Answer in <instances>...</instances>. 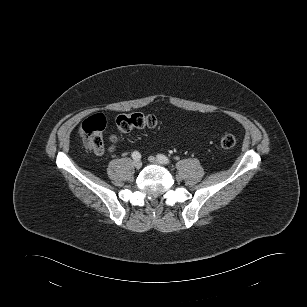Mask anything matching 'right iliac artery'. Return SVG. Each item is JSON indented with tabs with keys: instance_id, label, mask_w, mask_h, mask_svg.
Wrapping results in <instances>:
<instances>
[{
	"instance_id": "right-iliac-artery-1",
	"label": "right iliac artery",
	"mask_w": 307,
	"mask_h": 307,
	"mask_svg": "<svg viewBox=\"0 0 307 307\" xmlns=\"http://www.w3.org/2000/svg\"><path fill=\"white\" fill-rule=\"evenodd\" d=\"M132 158H133L134 160H139V159L141 158V155H140V153H139L138 151H134V152L132 153Z\"/></svg>"
}]
</instances>
